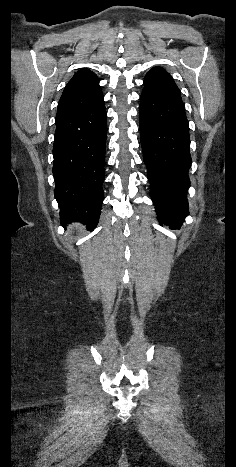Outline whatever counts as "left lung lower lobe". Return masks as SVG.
Masks as SVG:
<instances>
[{
	"label": "left lung lower lobe",
	"instance_id": "0a47b994",
	"mask_svg": "<svg viewBox=\"0 0 236 467\" xmlns=\"http://www.w3.org/2000/svg\"><path fill=\"white\" fill-rule=\"evenodd\" d=\"M139 117L143 159L158 220L178 227L189 214L186 192L191 166L189 123L181 96L143 89Z\"/></svg>",
	"mask_w": 236,
	"mask_h": 467
}]
</instances>
